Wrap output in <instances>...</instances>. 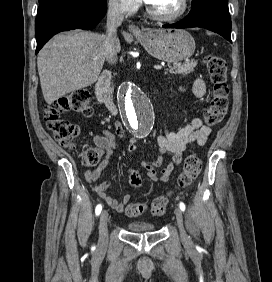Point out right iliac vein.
Instances as JSON below:
<instances>
[{"mask_svg":"<svg viewBox=\"0 0 272 282\" xmlns=\"http://www.w3.org/2000/svg\"><path fill=\"white\" fill-rule=\"evenodd\" d=\"M107 230H108V212L102 211L99 219V235L100 241L105 243L107 241Z\"/></svg>","mask_w":272,"mask_h":282,"instance_id":"obj_1","label":"right iliac vein"}]
</instances>
